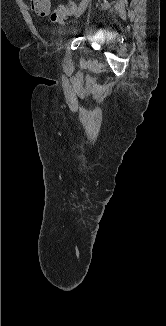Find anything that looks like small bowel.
Segmentation results:
<instances>
[{
  "mask_svg": "<svg viewBox=\"0 0 166 326\" xmlns=\"http://www.w3.org/2000/svg\"><path fill=\"white\" fill-rule=\"evenodd\" d=\"M31 9L40 16H46L51 9V0H30Z\"/></svg>",
  "mask_w": 166,
  "mask_h": 326,
  "instance_id": "small-bowel-1",
  "label": "small bowel"
}]
</instances>
